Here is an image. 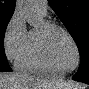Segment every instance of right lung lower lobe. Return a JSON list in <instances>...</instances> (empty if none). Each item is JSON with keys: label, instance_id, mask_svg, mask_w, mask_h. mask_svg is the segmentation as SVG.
<instances>
[{"label": "right lung lower lobe", "instance_id": "right-lung-lower-lobe-1", "mask_svg": "<svg viewBox=\"0 0 89 89\" xmlns=\"http://www.w3.org/2000/svg\"><path fill=\"white\" fill-rule=\"evenodd\" d=\"M12 71L8 63L2 62L0 63V72H8Z\"/></svg>", "mask_w": 89, "mask_h": 89}]
</instances>
